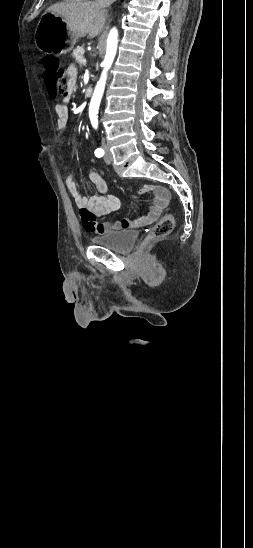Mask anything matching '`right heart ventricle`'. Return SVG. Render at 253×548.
Wrapping results in <instances>:
<instances>
[{
	"instance_id": "obj_1",
	"label": "right heart ventricle",
	"mask_w": 253,
	"mask_h": 548,
	"mask_svg": "<svg viewBox=\"0 0 253 548\" xmlns=\"http://www.w3.org/2000/svg\"><path fill=\"white\" fill-rule=\"evenodd\" d=\"M66 1H81V0H66Z\"/></svg>"
}]
</instances>
